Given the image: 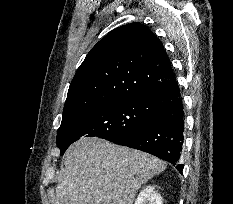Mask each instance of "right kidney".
Wrapping results in <instances>:
<instances>
[{"label":"right kidney","mask_w":233,"mask_h":204,"mask_svg":"<svg viewBox=\"0 0 233 204\" xmlns=\"http://www.w3.org/2000/svg\"><path fill=\"white\" fill-rule=\"evenodd\" d=\"M135 204H162L161 195L154 186H147L140 192Z\"/></svg>","instance_id":"ca27d5eb"}]
</instances>
